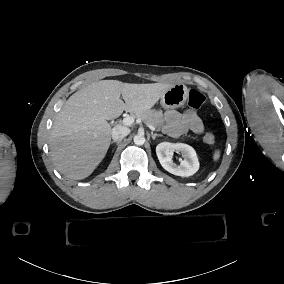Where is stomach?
<instances>
[{
    "label": "stomach",
    "mask_w": 284,
    "mask_h": 284,
    "mask_svg": "<svg viewBox=\"0 0 284 284\" xmlns=\"http://www.w3.org/2000/svg\"><path fill=\"white\" fill-rule=\"evenodd\" d=\"M188 96L189 89L185 84H175L162 95L160 104L164 109H176L186 103Z\"/></svg>",
    "instance_id": "0dacf381"
}]
</instances>
